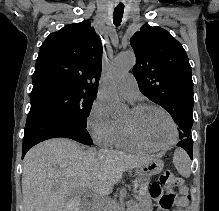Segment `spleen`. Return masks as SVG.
Returning a JSON list of instances; mask_svg holds the SVG:
<instances>
[{"label":"spleen","instance_id":"obj_1","mask_svg":"<svg viewBox=\"0 0 219 211\" xmlns=\"http://www.w3.org/2000/svg\"><path fill=\"white\" fill-rule=\"evenodd\" d=\"M173 163L180 175L183 177H190L191 175V161L189 159L188 153L181 149V147H177L174 151L173 155Z\"/></svg>","mask_w":219,"mask_h":211}]
</instances>
